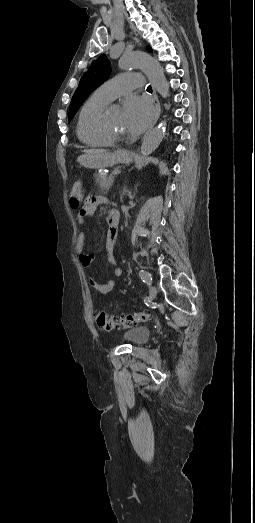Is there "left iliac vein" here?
Returning a JSON list of instances; mask_svg holds the SVG:
<instances>
[{
    "mask_svg": "<svg viewBox=\"0 0 255 523\" xmlns=\"http://www.w3.org/2000/svg\"><path fill=\"white\" fill-rule=\"evenodd\" d=\"M146 273V276L149 280V295H150V299H154L157 295V290L155 287L151 286V283H152V277L151 275L148 273V272H145Z\"/></svg>",
    "mask_w": 255,
    "mask_h": 523,
    "instance_id": "obj_1",
    "label": "left iliac vein"
}]
</instances>
